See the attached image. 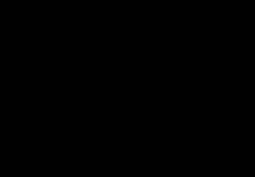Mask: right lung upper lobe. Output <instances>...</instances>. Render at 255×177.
Listing matches in <instances>:
<instances>
[{"label": "right lung upper lobe", "mask_w": 255, "mask_h": 177, "mask_svg": "<svg viewBox=\"0 0 255 177\" xmlns=\"http://www.w3.org/2000/svg\"><path fill=\"white\" fill-rule=\"evenodd\" d=\"M110 45L103 35L82 33L52 57L45 74V97L57 124L68 115L89 113L98 106L92 84Z\"/></svg>", "instance_id": "right-lung-upper-lobe-1"}]
</instances>
